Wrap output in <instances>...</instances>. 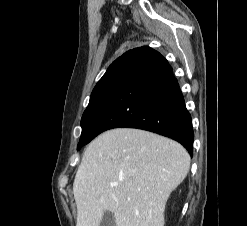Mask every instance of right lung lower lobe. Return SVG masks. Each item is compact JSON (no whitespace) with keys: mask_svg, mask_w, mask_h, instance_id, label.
I'll use <instances>...</instances> for the list:
<instances>
[{"mask_svg":"<svg viewBox=\"0 0 247 226\" xmlns=\"http://www.w3.org/2000/svg\"><path fill=\"white\" fill-rule=\"evenodd\" d=\"M118 127L172 138L192 156L191 116L178 82L168 61L150 47L135 48L129 54L87 143L101 132Z\"/></svg>","mask_w":247,"mask_h":226,"instance_id":"obj_1","label":"right lung lower lobe"}]
</instances>
